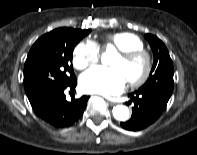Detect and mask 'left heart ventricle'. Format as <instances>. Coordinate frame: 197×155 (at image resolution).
Returning <instances> with one entry per match:
<instances>
[{
  "label": "left heart ventricle",
  "mask_w": 197,
  "mask_h": 155,
  "mask_svg": "<svg viewBox=\"0 0 197 155\" xmlns=\"http://www.w3.org/2000/svg\"><path fill=\"white\" fill-rule=\"evenodd\" d=\"M111 66L119 69L126 81L140 77L144 71V61L142 59L124 60L120 55L114 57Z\"/></svg>",
  "instance_id": "obj_1"
}]
</instances>
